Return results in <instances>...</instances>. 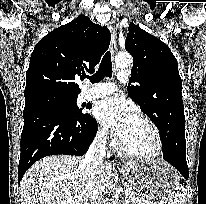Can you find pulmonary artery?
Segmentation results:
<instances>
[{
  "label": "pulmonary artery",
  "mask_w": 206,
  "mask_h": 204,
  "mask_svg": "<svg viewBox=\"0 0 206 204\" xmlns=\"http://www.w3.org/2000/svg\"><path fill=\"white\" fill-rule=\"evenodd\" d=\"M118 79L120 82L126 83L129 79V73L127 71H120L118 73ZM116 90V87L111 82L99 83L93 87L85 90L82 94L84 100H91L94 98L104 97Z\"/></svg>",
  "instance_id": "e3ab8cb5"
}]
</instances>
